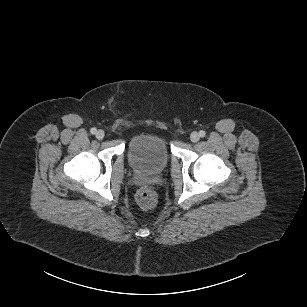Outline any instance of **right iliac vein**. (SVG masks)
Here are the masks:
<instances>
[{
  "instance_id": "1",
  "label": "right iliac vein",
  "mask_w": 307,
  "mask_h": 307,
  "mask_svg": "<svg viewBox=\"0 0 307 307\" xmlns=\"http://www.w3.org/2000/svg\"><path fill=\"white\" fill-rule=\"evenodd\" d=\"M104 136H105V133H104L103 130H98V131L96 132V138H97L98 140H102V139L104 138Z\"/></svg>"
}]
</instances>
